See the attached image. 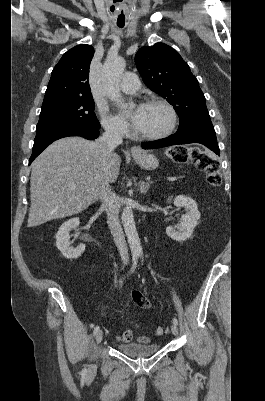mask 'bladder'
I'll return each mask as SVG.
<instances>
[{"mask_svg":"<svg viewBox=\"0 0 265 401\" xmlns=\"http://www.w3.org/2000/svg\"><path fill=\"white\" fill-rule=\"evenodd\" d=\"M160 349V344L140 345L137 343L119 345V350L133 357L149 356Z\"/></svg>","mask_w":265,"mask_h":401,"instance_id":"1","label":"bladder"}]
</instances>
